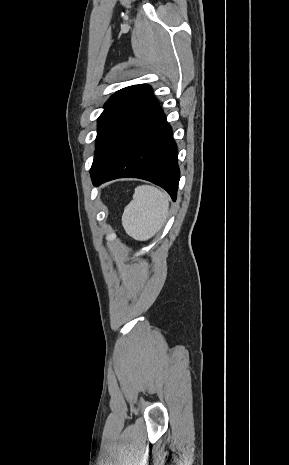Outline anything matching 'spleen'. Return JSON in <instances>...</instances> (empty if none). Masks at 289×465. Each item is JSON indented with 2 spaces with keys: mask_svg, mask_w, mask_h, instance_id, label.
<instances>
[{
  "mask_svg": "<svg viewBox=\"0 0 289 465\" xmlns=\"http://www.w3.org/2000/svg\"><path fill=\"white\" fill-rule=\"evenodd\" d=\"M169 211L168 195L156 187L135 188L133 200L125 207L122 225L126 233L138 241H146L164 225Z\"/></svg>",
  "mask_w": 289,
  "mask_h": 465,
  "instance_id": "3e777b00",
  "label": "spleen"
}]
</instances>
